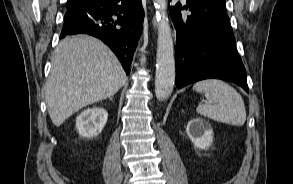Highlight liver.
Here are the masks:
<instances>
[{"instance_id":"obj_1","label":"liver","mask_w":293,"mask_h":184,"mask_svg":"<svg viewBox=\"0 0 293 184\" xmlns=\"http://www.w3.org/2000/svg\"><path fill=\"white\" fill-rule=\"evenodd\" d=\"M51 64L45 101L56 127L83 107L113 96L127 81L114 53L88 35L61 40Z\"/></svg>"}]
</instances>
